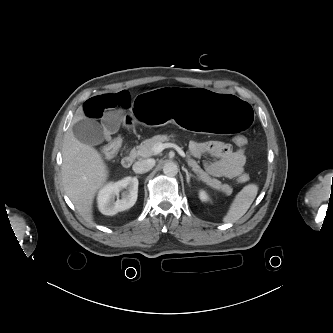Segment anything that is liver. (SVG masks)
Returning a JSON list of instances; mask_svg holds the SVG:
<instances>
[{"instance_id":"1","label":"liver","mask_w":333,"mask_h":333,"mask_svg":"<svg viewBox=\"0 0 333 333\" xmlns=\"http://www.w3.org/2000/svg\"><path fill=\"white\" fill-rule=\"evenodd\" d=\"M82 119V115H75L72 123ZM62 158L64 190L80 214L88 222H92L95 194L108 177L106 164L96 149L74 136L71 128L64 136Z\"/></svg>"}]
</instances>
